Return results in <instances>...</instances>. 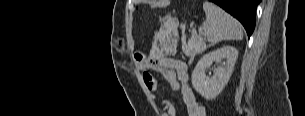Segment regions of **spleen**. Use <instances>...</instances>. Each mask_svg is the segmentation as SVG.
Here are the masks:
<instances>
[{
    "label": "spleen",
    "mask_w": 305,
    "mask_h": 116,
    "mask_svg": "<svg viewBox=\"0 0 305 116\" xmlns=\"http://www.w3.org/2000/svg\"><path fill=\"white\" fill-rule=\"evenodd\" d=\"M203 10L206 14V23L203 25V30L209 43L217 44L221 41L241 40L243 38L242 25L222 8L205 1Z\"/></svg>",
    "instance_id": "3e777b00"
}]
</instances>
